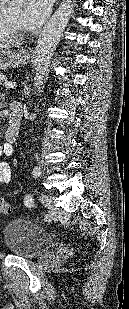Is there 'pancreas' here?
Returning <instances> with one entry per match:
<instances>
[{
    "mask_svg": "<svg viewBox=\"0 0 129 309\" xmlns=\"http://www.w3.org/2000/svg\"><path fill=\"white\" fill-rule=\"evenodd\" d=\"M5 81H7L6 75L0 73V85L3 84Z\"/></svg>",
    "mask_w": 129,
    "mask_h": 309,
    "instance_id": "obj_1",
    "label": "pancreas"
}]
</instances>
